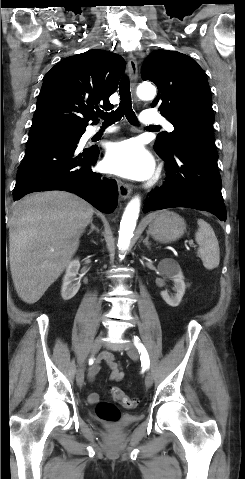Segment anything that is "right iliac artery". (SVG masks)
<instances>
[{
	"label": "right iliac artery",
	"instance_id": "obj_1",
	"mask_svg": "<svg viewBox=\"0 0 245 479\" xmlns=\"http://www.w3.org/2000/svg\"><path fill=\"white\" fill-rule=\"evenodd\" d=\"M89 362H93V359H90V361H89Z\"/></svg>",
	"mask_w": 245,
	"mask_h": 479
}]
</instances>
